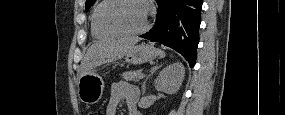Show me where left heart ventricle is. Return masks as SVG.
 <instances>
[{
  "label": "left heart ventricle",
  "instance_id": "1",
  "mask_svg": "<svg viewBox=\"0 0 285 115\" xmlns=\"http://www.w3.org/2000/svg\"><path fill=\"white\" fill-rule=\"evenodd\" d=\"M145 16V7L139 1L112 3L103 11L106 23L128 32L141 29L145 23Z\"/></svg>",
  "mask_w": 285,
  "mask_h": 115
}]
</instances>
